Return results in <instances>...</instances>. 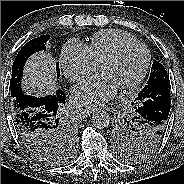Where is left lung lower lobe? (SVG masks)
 Listing matches in <instances>:
<instances>
[{"label":"left lung lower lobe","instance_id":"0a47b994","mask_svg":"<svg viewBox=\"0 0 184 184\" xmlns=\"http://www.w3.org/2000/svg\"><path fill=\"white\" fill-rule=\"evenodd\" d=\"M160 88V95L156 89ZM134 110L133 117L141 125L151 128L157 137H164L170 112V84L161 83L139 93L131 103Z\"/></svg>","mask_w":184,"mask_h":184}]
</instances>
